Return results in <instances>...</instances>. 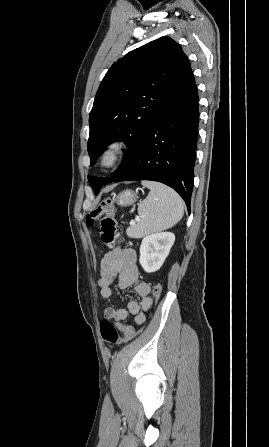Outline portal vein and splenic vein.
Masks as SVG:
<instances>
[{"mask_svg": "<svg viewBox=\"0 0 269 447\" xmlns=\"http://www.w3.org/2000/svg\"><path fill=\"white\" fill-rule=\"evenodd\" d=\"M135 222H140V218H138V216H136ZM135 222H130V224L133 225V224H135Z\"/></svg>", "mask_w": 269, "mask_h": 447, "instance_id": "18ae733b", "label": "portal vein and splenic vein"}]
</instances>
